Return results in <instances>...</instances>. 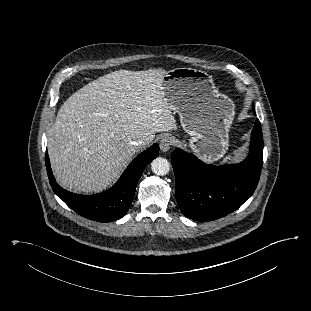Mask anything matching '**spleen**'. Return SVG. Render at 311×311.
Returning a JSON list of instances; mask_svg holds the SVG:
<instances>
[{
  "instance_id": "spleen-1",
  "label": "spleen",
  "mask_w": 311,
  "mask_h": 311,
  "mask_svg": "<svg viewBox=\"0 0 311 311\" xmlns=\"http://www.w3.org/2000/svg\"><path fill=\"white\" fill-rule=\"evenodd\" d=\"M232 154L227 155L222 161L221 164H225L227 162H229L230 160H232Z\"/></svg>"
}]
</instances>
